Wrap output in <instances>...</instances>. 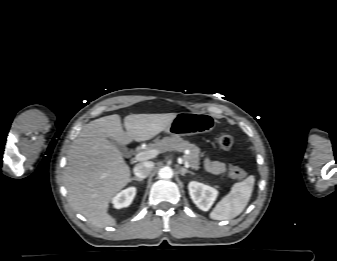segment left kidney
<instances>
[{
    "label": "left kidney",
    "mask_w": 337,
    "mask_h": 261,
    "mask_svg": "<svg viewBox=\"0 0 337 261\" xmlns=\"http://www.w3.org/2000/svg\"><path fill=\"white\" fill-rule=\"evenodd\" d=\"M188 190L192 201L203 211H208L218 196L215 188L196 181L188 184Z\"/></svg>",
    "instance_id": "1"
}]
</instances>
